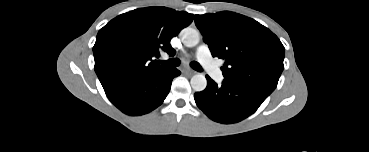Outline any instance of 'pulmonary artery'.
I'll return each instance as SVG.
<instances>
[{"mask_svg": "<svg viewBox=\"0 0 369 152\" xmlns=\"http://www.w3.org/2000/svg\"><path fill=\"white\" fill-rule=\"evenodd\" d=\"M197 59L207 71V73L214 79V80H221L222 73L213 60L211 56V52L209 47L206 44H202L197 48Z\"/></svg>", "mask_w": 369, "mask_h": 152, "instance_id": "obj_1", "label": "pulmonary artery"}]
</instances>
